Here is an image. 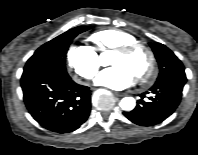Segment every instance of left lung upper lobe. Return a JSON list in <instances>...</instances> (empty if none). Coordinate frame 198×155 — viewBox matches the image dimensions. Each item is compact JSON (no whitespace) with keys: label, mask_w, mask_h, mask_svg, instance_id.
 I'll return each mask as SVG.
<instances>
[{"label":"left lung upper lobe","mask_w":198,"mask_h":155,"mask_svg":"<svg viewBox=\"0 0 198 155\" xmlns=\"http://www.w3.org/2000/svg\"><path fill=\"white\" fill-rule=\"evenodd\" d=\"M151 47L158 61L160 69V73L156 82L176 76L186 77L185 68L182 62L174 55L170 49L161 43L151 45ZM144 113L146 114L147 112ZM145 114L142 115L143 118L146 117Z\"/></svg>","instance_id":"5c2ea615"}]
</instances>
